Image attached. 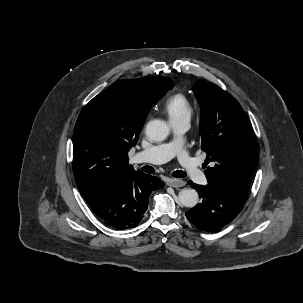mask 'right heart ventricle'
Instances as JSON below:
<instances>
[{
  "mask_svg": "<svg viewBox=\"0 0 303 303\" xmlns=\"http://www.w3.org/2000/svg\"><path fill=\"white\" fill-rule=\"evenodd\" d=\"M171 124L189 120L192 114V106L189 99L182 93H176L166 99L163 105Z\"/></svg>",
  "mask_w": 303,
  "mask_h": 303,
  "instance_id": "1",
  "label": "right heart ventricle"
}]
</instances>
